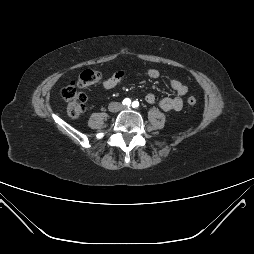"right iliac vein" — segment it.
Here are the masks:
<instances>
[{
  "label": "right iliac vein",
  "mask_w": 254,
  "mask_h": 254,
  "mask_svg": "<svg viewBox=\"0 0 254 254\" xmlns=\"http://www.w3.org/2000/svg\"><path fill=\"white\" fill-rule=\"evenodd\" d=\"M111 110H113V111L117 110V105L116 104L112 105Z\"/></svg>",
  "instance_id": "obj_1"
}]
</instances>
